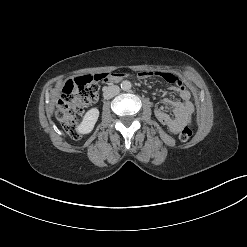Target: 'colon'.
Segmentation results:
<instances>
[{"instance_id":"1","label":"colon","mask_w":247,"mask_h":247,"mask_svg":"<svg viewBox=\"0 0 247 247\" xmlns=\"http://www.w3.org/2000/svg\"><path fill=\"white\" fill-rule=\"evenodd\" d=\"M109 76L105 73L84 75L67 81L63 86L56 109V117L71 138H80L77 118L85 106L97 100L100 82ZM192 134L191 128L185 126L179 133V139L186 142Z\"/></svg>"}]
</instances>
